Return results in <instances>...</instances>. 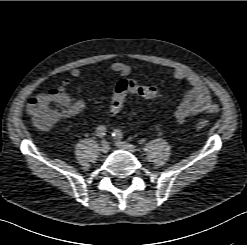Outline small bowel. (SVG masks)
I'll list each match as a JSON object with an SVG mask.
<instances>
[{
  "instance_id": "c3829d8e",
  "label": "small bowel",
  "mask_w": 247,
  "mask_h": 245,
  "mask_svg": "<svg viewBox=\"0 0 247 245\" xmlns=\"http://www.w3.org/2000/svg\"><path fill=\"white\" fill-rule=\"evenodd\" d=\"M133 69L132 66L122 62H115L110 66V70L120 77L129 76ZM70 73L74 78H78L82 74V68L80 66H75L71 69ZM171 73L174 78L184 80L189 84V89L174 110V116L178 122L183 123L188 118L203 112L216 113L218 111V106L212 101L208 87L198 75L182 68H173ZM70 85L71 80L65 79L60 86L50 89L47 93L49 95H58L64 98L66 102L63 113L64 117L75 116L81 113L85 108L83 101H73L66 94V90ZM76 89L81 91V85H77Z\"/></svg>"
}]
</instances>
